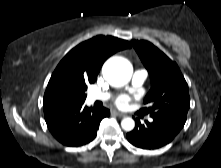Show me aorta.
Listing matches in <instances>:
<instances>
[{"mask_svg": "<svg viewBox=\"0 0 221 168\" xmlns=\"http://www.w3.org/2000/svg\"><path fill=\"white\" fill-rule=\"evenodd\" d=\"M103 76L114 87L126 85L133 73L132 64L123 57H112L108 59L102 68ZM121 127L125 131H131L135 127V122L130 117H125L121 121Z\"/></svg>", "mask_w": 221, "mask_h": 168, "instance_id": "obj_1", "label": "aorta"}]
</instances>
